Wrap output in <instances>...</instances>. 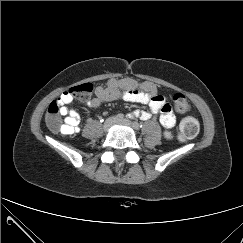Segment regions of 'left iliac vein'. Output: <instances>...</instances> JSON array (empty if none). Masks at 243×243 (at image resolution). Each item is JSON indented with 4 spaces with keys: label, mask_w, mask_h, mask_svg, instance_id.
<instances>
[{
    "label": "left iliac vein",
    "mask_w": 243,
    "mask_h": 243,
    "mask_svg": "<svg viewBox=\"0 0 243 243\" xmlns=\"http://www.w3.org/2000/svg\"><path fill=\"white\" fill-rule=\"evenodd\" d=\"M117 124H123V125H126V126H130L132 128H134L135 130H137L136 127H134V125L132 124V122L128 119H121V120H117L116 121Z\"/></svg>",
    "instance_id": "left-iliac-vein-1"
}]
</instances>
